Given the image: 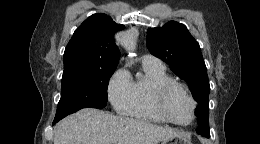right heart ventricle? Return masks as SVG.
Here are the masks:
<instances>
[{"mask_svg":"<svg viewBox=\"0 0 260 144\" xmlns=\"http://www.w3.org/2000/svg\"><path fill=\"white\" fill-rule=\"evenodd\" d=\"M144 77L132 82L131 101L125 114L131 118L163 122L151 105L154 88L164 82L173 81L165 68L153 67L142 63Z\"/></svg>","mask_w":260,"mask_h":144,"instance_id":"right-heart-ventricle-1","label":"right heart ventricle"}]
</instances>
